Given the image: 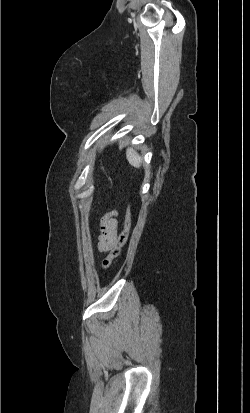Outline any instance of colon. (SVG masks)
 Returning <instances> with one entry per match:
<instances>
[{"label": "colon", "instance_id": "obj_1", "mask_svg": "<svg viewBox=\"0 0 250 413\" xmlns=\"http://www.w3.org/2000/svg\"><path fill=\"white\" fill-rule=\"evenodd\" d=\"M131 229V207L128 205L123 225V230L117 237V241L113 249L103 261V268L108 270L111 268L113 261L120 255L121 249L126 244Z\"/></svg>", "mask_w": 250, "mask_h": 413}]
</instances>
